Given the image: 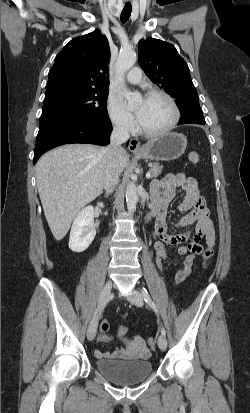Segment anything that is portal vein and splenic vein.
Masks as SVG:
<instances>
[{
	"label": "portal vein and splenic vein",
	"instance_id": "portal-vein-and-splenic-vein-1",
	"mask_svg": "<svg viewBox=\"0 0 250 413\" xmlns=\"http://www.w3.org/2000/svg\"><path fill=\"white\" fill-rule=\"evenodd\" d=\"M150 177H151V174H150V172H148V173L146 174V178H147V179H150ZM85 186H88V184H85Z\"/></svg>",
	"mask_w": 250,
	"mask_h": 413
}]
</instances>
